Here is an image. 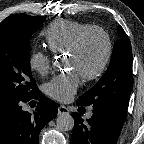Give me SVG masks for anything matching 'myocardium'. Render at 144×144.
Instances as JSON below:
<instances>
[{
  "label": "myocardium",
  "instance_id": "obj_1",
  "mask_svg": "<svg viewBox=\"0 0 144 144\" xmlns=\"http://www.w3.org/2000/svg\"><path fill=\"white\" fill-rule=\"evenodd\" d=\"M91 34H99L103 38L104 43H105V53H104L101 63L97 66L96 69H94L90 73L81 74V76L87 81L95 80L104 73V71L106 70V68L111 60L112 52H113L112 40H111L109 33L101 27L92 26V27L84 30L83 32H81L78 35V37L72 44L71 48L68 50L69 55L79 54L82 50V47H83L86 39Z\"/></svg>",
  "mask_w": 144,
  "mask_h": 144
}]
</instances>
